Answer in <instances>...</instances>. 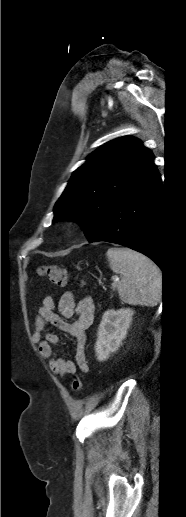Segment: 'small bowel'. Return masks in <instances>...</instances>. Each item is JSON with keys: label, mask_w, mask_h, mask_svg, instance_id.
<instances>
[{"label": "small bowel", "mask_w": 186, "mask_h": 517, "mask_svg": "<svg viewBox=\"0 0 186 517\" xmlns=\"http://www.w3.org/2000/svg\"><path fill=\"white\" fill-rule=\"evenodd\" d=\"M58 313L55 312L53 297H44L38 309V315L34 323L33 340L38 343L39 354L48 360L52 373L66 376L76 372L77 367L88 372L89 366L85 353L86 330L94 319L95 305L91 297H84L76 303L71 292H65L58 302ZM76 317L74 322L66 320ZM47 326L58 328L72 336L76 342L75 361L53 356V345L59 342V337L53 332L43 334Z\"/></svg>", "instance_id": "small-bowel-1"}]
</instances>
